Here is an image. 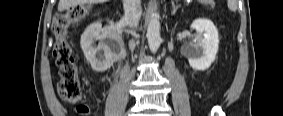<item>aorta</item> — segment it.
<instances>
[{
	"label": "aorta",
	"mask_w": 283,
	"mask_h": 116,
	"mask_svg": "<svg viewBox=\"0 0 283 116\" xmlns=\"http://www.w3.org/2000/svg\"><path fill=\"white\" fill-rule=\"evenodd\" d=\"M160 21L159 16L156 13L151 15L147 27V39L149 49L152 53H156L161 45L162 39L160 36Z\"/></svg>",
	"instance_id": "obj_1"
}]
</instances>
